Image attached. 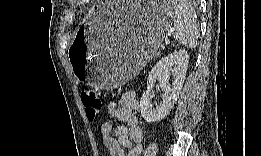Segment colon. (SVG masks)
I'll return each instance as SVG.
<instances>
[{
  "mask_svg": "<svg viewBox=\"0 0 261 156\" xmlns=\"http://www.w3.org/2000/svg\"><path fill=\"white\" fill-rule=\"evenodd\" d=\"M81 100L85 107L87 118L89 120L95 119L103 108V100L100 93L93 89H85L81 93Z\"/></svg>",
  "mask_w": 261,
  "mask_h": 156,
  "instance_id": "colon-1",
  "label": "colon"
}]
</instances>
